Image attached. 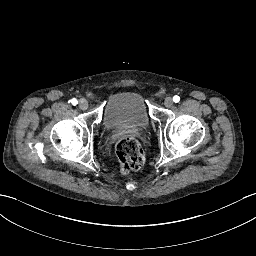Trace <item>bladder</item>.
I'll return each mask as SVG.
<instances>
[{
	"label": "bladder",
	"instance_id": "bladder-1",
	"mask_svg": "<svg viewBox=\"0 0 256 256\" xmlns=\"http://www.w3.org/2000/svg\"><path fill=\"white\" fill-rule=\"evenodd\" d=\"M103 121L108 128L144 129L150 124V116L140 93L125 90L109 99Z\"/></svg>",
	"mask_w": 256,
	"mask_h": 256
}]
</instances>
